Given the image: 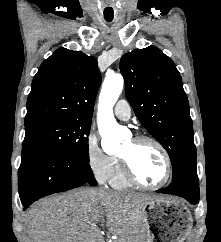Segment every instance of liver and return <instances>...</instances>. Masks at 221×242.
Segmentation results:
<instances>
[{"label": "liver", "instance_id": "liver-1", "mask_svg": "<svg viewBox=\"0 0 221 242\" xmlns=\"http://www.w3.org/2000/svg\"><path fill=\"white\" fill-rule=\"evenodd\" d=\"M154 198L82 188L42 199L25 216L29 242H103L99 222L117 236V242H145L141 209Z\"/></svg>", "mask_w": 221, "mask_h": 242}]
</instances>
